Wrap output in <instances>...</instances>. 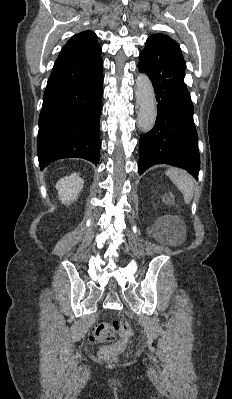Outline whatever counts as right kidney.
I'll return each mask as SVG.
<instances>
[{"label": "right kidney", "mask_w": 232, "mask_h": 399, "mask_svg": "<svg viewBox=\"0 0 232 399\" xmlns=\"http://www.w3.org/2000/svg\"><path fill=\"white\" fill-rule=\"evenodd\" d=\"M83 180L79 174H71V176H64L59 182H57L55 188L58 190V198L62 203H71V201L77 200L78 194H80L83 188Z\"/></svg>", "instance_id": "1"}]
</instances>
